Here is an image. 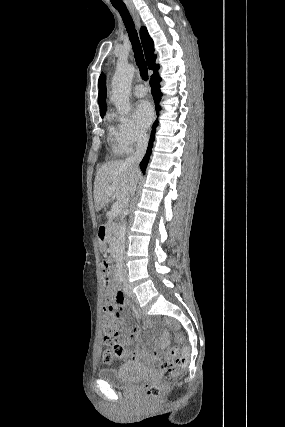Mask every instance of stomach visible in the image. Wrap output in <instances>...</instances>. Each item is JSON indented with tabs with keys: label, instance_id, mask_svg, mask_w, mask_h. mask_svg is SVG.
I'll return each mask as SVG.
<instances>
[{
	"label": "stomach",
	"instance_id": "stomach-1",
	"mask_svg": "<svg viewBox=\"0 0 285 427\" xmlns=\"http://www.w3.org/2000/svg\"><path fill=\"white\" fill-rule=\"evenodd\" d=\"M100 247H101V249H104V248H105V243H104V242H102V243L100 244Z\"/></svg>",
	"mask_w": 285,
	"mask_h": 427
}]
</instances>
